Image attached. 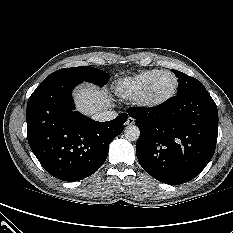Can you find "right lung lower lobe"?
Masks as SVG:
<instances>
[{
	"instance_id": "1",
	"label": "right lung lower lobe",
	"mask_w": 233,
	"mask_h": 233,
	"mask_svg": "<svg viewBox=\"0 0 233 233\" xmlns=\"http://www.w3.org/2000/svg\"><path fill=\"white\" fill-rule=\"evenodd\" d=\"M61 79L37 88L27 103V137L30 148L52 176L64 181L82 180L105 162L110 142L128 119L94 121L74 111L71 91L80 84Z\"/></svg>"
}]
</instances>
